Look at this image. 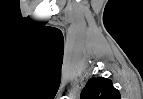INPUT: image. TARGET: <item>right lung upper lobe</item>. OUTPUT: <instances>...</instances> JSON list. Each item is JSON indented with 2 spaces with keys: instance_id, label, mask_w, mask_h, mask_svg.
<instances>
[{
  "instance_id": "cb5924a9",
  "label": "right lung upper lobe",
  "mask_w": 143,
  "mask_h": 99,
  "mask_svg": "<svg viewBox=\"0 0 143 99\" xmlns=\"http://www.w3.org/2000/svg\"><path fill=\"white\" fill-rule=\"evenodd\" d=\"M80 99H120V93L110 79L97 77L88 81Z\"/></svg>"
}]
</instances>
